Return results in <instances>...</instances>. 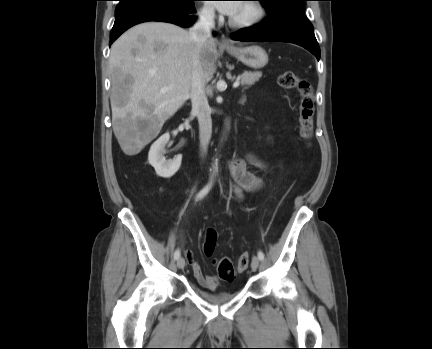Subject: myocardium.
Wrapping results in <instances>:
<instances>
[{"label": "myocardium", "instance_id": "myocardium-1", "mask_svg": "<svg viewBox=\"0 0 432 349\" xmlns=\"http://www.w3.org/2000/svg\"><path fill=\"white\" fill-rule=\"evenodd\" d=\"M249 4L254 9V15L246 19H236L232 16L229 18V24L234 28H250L259 24L266 16L264 5L258 0H249Z\"/></svg>", "mask_w": 432, "mask_h": 349}]
</instances>
